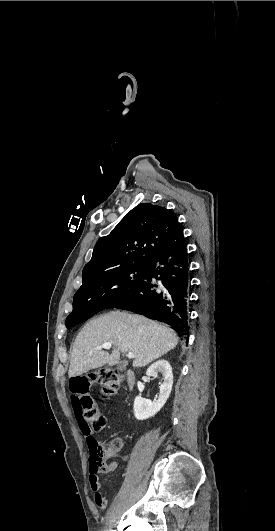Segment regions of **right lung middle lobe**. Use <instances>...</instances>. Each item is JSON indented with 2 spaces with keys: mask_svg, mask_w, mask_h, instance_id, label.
Here are the masks:
<instances>
[{
  "mask_svg": "<svg viewBox=\"0 0 275 531\" xmlns=\"http://www.w3.org/2000/svg\"><path fill=\"white\" fill-rule=\"evenodd\" d=\"M145 273L146 266L125 267L82 285L74 295L73 311L66 319V327L84 322L99 311L127 300Z\"/></svg>",
  "mask_w": 275,
  "mask_h": 531,
  "instance_id": "1",
  "label": "right lung middle lobe"
}]
</instances>
